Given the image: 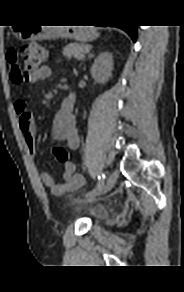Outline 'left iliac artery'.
Here are the masks:
<instances>
[{"instance_id": "obj_1", "label": "left iliac artery", "mask_w": 184, "mask_h": 292, "mask_svg": "<svg viewBox=\"0 0 184 292\" xmlns=\"http://www.w3.org/2000/svg\"><path fill=\"white\" fill-rule=\"evenodd\" d=\"M104 180H105V174L101 173L100 175H98V183L97 186L91 190L90 192L86 193V197L91 196L93 194H95L96 192H98L104 185Z\"/></svg>"}]
</instances>
